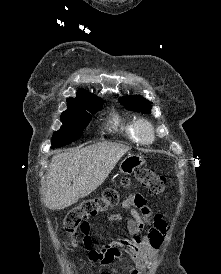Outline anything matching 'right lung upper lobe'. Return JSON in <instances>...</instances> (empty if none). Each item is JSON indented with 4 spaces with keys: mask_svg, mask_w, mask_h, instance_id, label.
<instances>
[{
    "mask_svg": "<svg viewBox=\"0 0 221 274\" xmlns=\"http://www.w3.org/2000/svg\"><path fill=\"white\" fill-rule=\"evenodd\" d=\"M91 97H97L95 95H92L91 93L87 92V91H79L77 96L75 98H68L67 99V104H72V103H76L81 99L84 98H91Z\"/></svg>",
    "mask_w": 221,
    "mask_h": 274,
    "instance_id": "1",
    "label": "right lung upper lobe"
}]
</instances>
